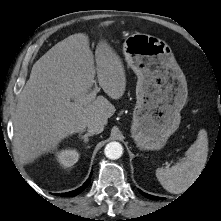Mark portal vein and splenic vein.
I'll return each instance as SVG.
<instances>
[{
    "label": "portal vein and splenic vein",
    "mask_w": 221,
    "mask_h": 221,
    "mask_svg": "<svg viewBox=\"0 0 221 221\" xmlns=\"http://www.w3.org/2000/svg\"><path fill=\"white\" fill-rule=\"evenodd\" d=\"M98 91H99V88H98L97 85H95L94 90H93V91L89 94V96H88V100L94 99ZM66 105H67V106H71L72 103L68 101V102H66Z\"/></svg>",
    "instance_id": "18ae733b"
}]
</instances>
